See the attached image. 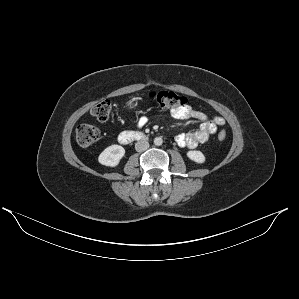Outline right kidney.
<instances>
[{
  "mask_svg": "<svg viewBox=\"0 0 299 299\" xmlns=\"http://www.w3.org/2000/svg\"><path fill=\"white\" fill-rule=\"evenodd\" d=\"M125 154V149L120 145H111L107 147L98 157L100 164L115 167Z\"/></svg>",
  "mask_w": 299,
  "mask_h": 299,
  "instance_id": "ca27d5eb",
  "label": "right kidney"
}]
</instances>
